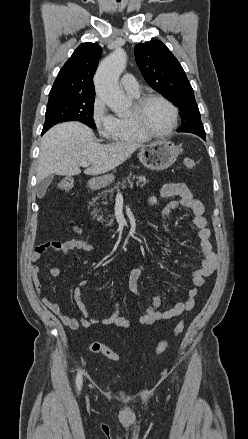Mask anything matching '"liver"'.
I'll return each mask as SVG.
<instances>
[{
    "instance_id": "6515ba94",
    "label": "liver",
    "mask_w": 248,
    "mask_h": 439,
    "mask_svg": "<svg viewBox=\"0 0 248 439\" xmlns=\"http://www.w3.org/2000/svg\"><path fill=\"white\" fill-rule=\"evenodd\" d=\"M142 145L131 142L100 144L92 129L80 122H65L48 130L40 146L37 182L52 174L72 176L81 173L80 162H89L86 175L106 173L125 162Z\"/></svg>"
}]
</instances>
